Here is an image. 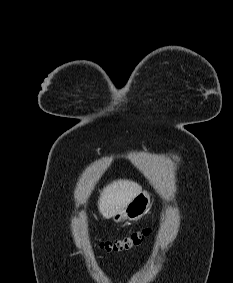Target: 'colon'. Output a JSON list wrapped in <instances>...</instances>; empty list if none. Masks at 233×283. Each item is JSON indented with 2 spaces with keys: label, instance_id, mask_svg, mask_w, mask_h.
<instances>
[{
  "label": "colon",
  "instance_id": "colon-1",
  "mask_svg": "<svg viewBox=\"0 0 233 283\" xmlns=\"http://www.w3.org/2000/svg\"><path fill=\"white\" fill-rule=\"evenodd\" d=\"M150 232V228L137 230L122 237L102 243V248L109 252L127 251L140 245Z\"/></svg>",
  "mask_w": 233,
  "mask_h": 283
}]
</instances>
